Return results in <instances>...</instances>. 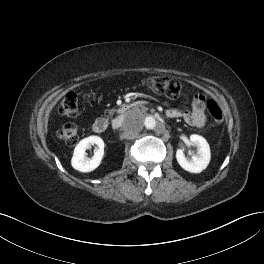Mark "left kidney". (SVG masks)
<instances>
[{
	"mask_svg": "<svg viewBox=\"0 0 264 264\" xmlns=\"http://www.w3.org/2000/svg\"><path fill=\"white\" fill-rule=\"evenodd\" d=\"M190 141L197 147L196 155L189 160L185 157L183 150L178 149L176 151V159L184 170L191 173H200L209 164L211 158L210 147L206 139L197 134H192Z\"/></svg>",
	"mask_w": 264,
	"mask_h": 264,
	"instance_id": "1",
	"label": "left kidney"
}]
</instances>
